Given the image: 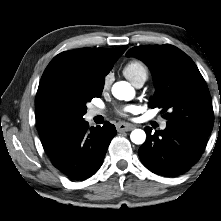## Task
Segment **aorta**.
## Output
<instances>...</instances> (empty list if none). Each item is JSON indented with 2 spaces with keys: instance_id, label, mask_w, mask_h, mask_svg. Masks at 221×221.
Masks as SVG:
<instances>
[{
  "instance_id": "obj_1",
  "label": "aorta",
  "mask_w": 221,
  "mask_h": 221,
  "mask_svg": "<svg viewBox=\"0 0 221 221\" xmlns=\"http://www.w3.org/2000/svg\"><path fill=\"white\" fill-rule=\"evenodd\" d=\"M112 94L118 100L129 101L133 99L135 92L128 82L119 81L112 86ZM130 139L134 144H143L146 140V133L142 129H135L131 132Z\"/></svg>"
}]
</instances>
